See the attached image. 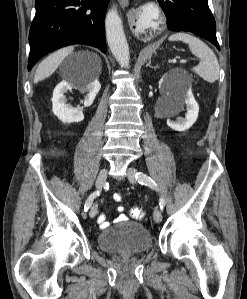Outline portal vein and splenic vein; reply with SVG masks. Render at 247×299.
Listing matches in <instances>:
<instances>
[{
    "label": "portal vein and splenic vein",
    "mask_w": 247,
    "mask_h": 299,
    "mask_svg": "<svg viewBox=\"0 0 247 299\" xmlns=\"http://www.w3.org/2000/svg\"><path fill=\"white\" fill-rule=\"evenodd\" d=\"M172 62L174 63V62H176V60H175V59H173V60H172Z\"/></svg>",
    "instance_id": "1"
}]
</instances>
